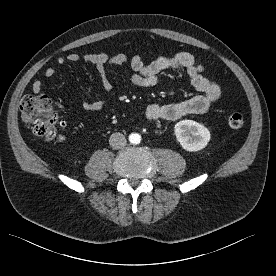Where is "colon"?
<instances>
[{"label": "colon", "mask_w": 276, "mask_h": 276, "mask_svg": "<svg viewBox=\"0 0 276 276\" xmlns=\"http://www.w3.org/2000/svg\"><path fill=\"white\" fill-rule=\"evenodd\" d=\"M21 118L32 132L47 141L60 143L64 139V124L53 109L51 98L46 93L25 96L20 105ZM227 125L239 130L244 125V117L239 112L229 114Z\"/></svg>", "instance_id": "5ec220e1"}]
</instances>
